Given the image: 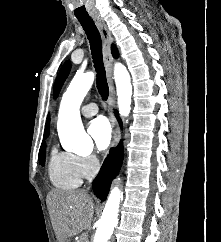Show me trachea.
Instances as JSON below:
<instances>
[{
  "label": "trachea",
  "mask_w": 221,
  "mask_h": 242,
  "mask_svg": "<svg viewBox=\"0 0 221 242\" xmlns=\"http://www.w3.org/2000/svg\"><path fill=\"white\" fill-rule=\"evenodd\" d=\"M78 21L83 27L90 43L93 63L97 73L96 83H97L98 92L101 95L103 100H107L109 95V88H108L105 68L103 64L102 45H101V37H100L99 31L94 21L90 18H84V19L78 18Z\"/></svg>",
  "instance_id": "1"
}]
</instances>
